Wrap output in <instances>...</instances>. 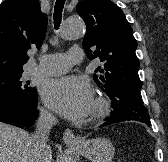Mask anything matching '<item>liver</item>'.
Masks as SVG:
<instances>
[{
    "label": "liver",
    "instance_id": "1",
    "mask_svg": "<svg viewBox=\"0 0 168 162\" xmlns=\"http://www.w3.org/2000/svg\"><path fill=\"white\" fill-rule=\"evenodd\" d=\"M30 135L23 129L0 122V162H27ZM50 151L45 162H51Z\"/></svg>",
    "mask_w": 168,
    "mask_h": 162
}]
</instances>
